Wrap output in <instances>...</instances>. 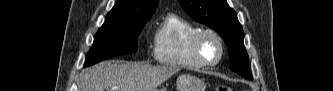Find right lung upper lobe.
Returning a JSON list of instances; mask_svg holds the SVG:
<instances>
[{"label":"right lung upper lobe","instance_id":"cb5924a9","mask_svg":"<svg viewBox=\"0 0 333 91\" xmlns=\"http://www.w3.org/2000/svg\"><path fill=\"white\" fill-rule=\"evenodd\" d=\"M158 0H117L105 20L131 21L139 18H151Z\"/></svg>","mask_w":333,"mask_h":91}]
</instances>
